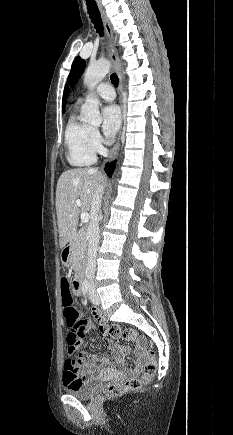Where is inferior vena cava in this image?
Instances as JSON below:
<instances>
[{
    "label": "inferior vena cava",
    "instance_id": "inferior-vena-cava-1",
    "mask_svg": "<svg viewBox=\"0 0 233 435\" xmlns=\"http://www.w3.org/2000/svg\"><path fill=\"white\" fill-rule=\"evenodd\" d=\"M97 171V170H96ZM104 192L103 186L96 189L92 201H91V214L93 216L88 230H87V240H88V265L86 268V277L92 282L94 278L95 268H96V253L99 244V223L97 220V214L101 207L102 194Z\"/></svg>",
    "mask_w": 233,
    "mask_h": 435
}]
</instances>
